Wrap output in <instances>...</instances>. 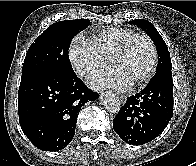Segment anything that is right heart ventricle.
Listing matches in <instances>:
<instances>
[{
  "mask_svg": "<svg viewBox=\"0 0 196 166\" xmlns=\"http://www.w3.org/2000/svg\"><path fill=\"white\" fill-rule=\"evenodd\" d=\"M134 31L119 27H106L95 30L89 39L107 59L118 49L126 37Z\"/></svg>",
  "mask_w": 196,
  "mask_h": 166,
  "instance_id": "e07e8e85",
  "label": "right heart ventricle"
}]
</instances>
